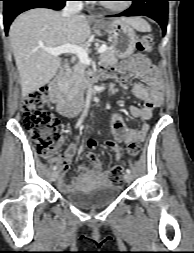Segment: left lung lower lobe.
Returning <instances> with one entry per match:
<instances>
[{"instance_id": "left-lung-lower-lobe-1", "label": "left lung lower lobe", "mask_w": 194, "mask_h": 253, "mask_svg": "<svg viewBox=\"0 0 194 253\" xmlns=\"http://www.w3.org/2000/svg\"><path fill=\"white\" fill-rule=\"evenodd\" d=\"M132 6L126 11L115 16H148L157 21L162 27L163 33L166 32L168 1L169 0H130Z\"/></svg>"}]
</instances>
